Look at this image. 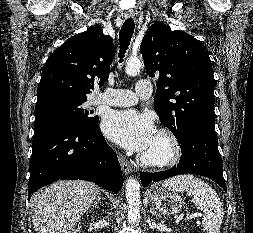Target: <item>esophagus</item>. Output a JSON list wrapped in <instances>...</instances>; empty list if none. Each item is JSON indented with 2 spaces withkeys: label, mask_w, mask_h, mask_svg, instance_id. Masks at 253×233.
I'll list each match as a JSON object with an SVG mask.
<instances>
[{
  "label": "esophagus",
  "mask_w": 253,
  "mask_h": 233,
  "mask_svg": "<svg viewBox=\"0 0 253 233\" xmlns=\"http://www.w3.org/2000/svg\"><path fill=\"white\" fill-rule=\"evenodd\" d=\"M134 16H135V12H133V11H128L125 13L126 18H133ZM119 162H120V165H121V168H122V171L124 172V174H126V175L131 174L132 167L124 155L119 154Z\"/></svg>",
  "instance_id": "1"
}]
</instances>
